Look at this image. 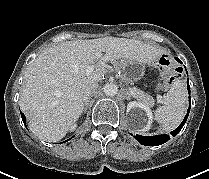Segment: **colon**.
Here are the masks:
<instances>
[{"mask_svg":"<svg viewBox=\"0 0 209 179\" xmlns=\"http://www.w3.org/2000/svg\"><path fill=\"white\" fill-rule=\"evenodd\" d=\"M159 65L163 69H168L169 66L168 59L165 57L160 58ZM181 74H182V70L180 68L168 69L167 75L164 80V85L165 86L171 85L174 81H176L181 77Z\"/></svg>","mask_w":209,"mask_h":179,"instance_id":"5ec220e1","label":"colon"}]
</instances>
